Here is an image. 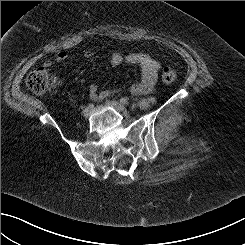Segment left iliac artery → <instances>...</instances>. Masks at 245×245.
<instances>
[{
  "label": "left iliac artery",
  "mask_w": 245,
  "mask_h": 245,
  "mask_svg": "<svg viewBox=\"0 0 245 245\" xmlns=\"http://www.w3.org/2000/svg\"><path fill=\"white\" fill-rule=\"evenodd\" d=\"M120 102H121L122 104H124V105H128V104H129L128 98H126V97L121 98V99H120Z\"/></svg>",
  "instance_id": "44dca946"
}]
</instances>
